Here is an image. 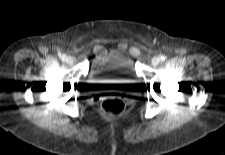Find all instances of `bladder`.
<instances>
[{
	"label": "bladder",
	"instance_id": "bladder-1",
	"mask_svg": "<svg viewBox=\"0 0 225 155\" xmlns=\"http://www.w3.org/2000/svg\"><path fill=\"white\" fill-rule=\"evenodd\" d=\"M90 77L98 82L119 85L130 93L139 88L134 61L124 50H111L97 56Z\"/></svg>",
	"mask_w": 225,
	"mask_h": 155
}]
</instances>
